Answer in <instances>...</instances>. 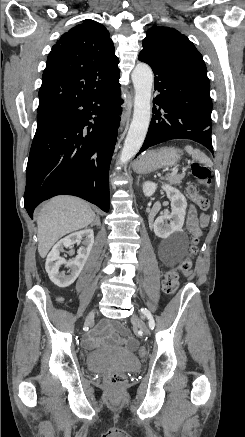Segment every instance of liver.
<instances>
[{
    "label": "liver",
    "instance_id": "obj_1",
    "mask_svg": "<svg viewBox=\"0 0 245 437\" xmlns=\"http://www.w3.org/2000/svg\"><path fill=\"white\" fill-rule=\"evenodd\" d=\"M95 218L90 205L79 198L58 196L49 200L37 214L39 255L44 258L61 237L87 227Z\"/></svg>",
    "mask_w": 245,
    "mask_h": 437
}]
</instances>
